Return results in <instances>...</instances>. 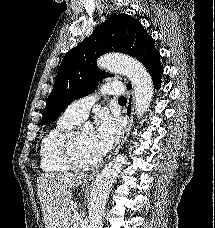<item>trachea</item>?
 I'll return each instance as SVG.
<instances>
[{
    "label": "trachea",
    "instance_id": "obj_1",
    "mask_svg": "<svg viewBox=\"0 0 215 228\" xmlns=\"http://www.w3.org/2000/svg\"><path fill=\"white\" fill-rule=\"evenodd\" d=\"M127 99L125 97H120L119 98V103H126Z\"/></svg>",
    "mask_w": 215,
    "mask_h": 228
}]
</instances>
